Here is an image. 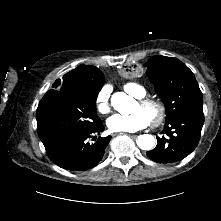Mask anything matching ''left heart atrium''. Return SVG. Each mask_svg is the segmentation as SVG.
Here are the masks:
<instances>
[{
    "label": "left heart atrium",
    "mask_w": 221,
    "mask_h": 221,
    "mask_svg": "<svg viewBox=\"0 0 221 221\" xmlns=\"http://www.w3.org/2000/svg\"><path fill=\"white\" fill-rule=\"evenodd\" d=\"M150 124L147 115L138 110L129 115L116 114L107 120V126L112 132H135Z\"/></svg>",
    "instance_id": "39dd6f15"
}]
</instances>
